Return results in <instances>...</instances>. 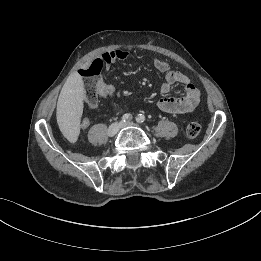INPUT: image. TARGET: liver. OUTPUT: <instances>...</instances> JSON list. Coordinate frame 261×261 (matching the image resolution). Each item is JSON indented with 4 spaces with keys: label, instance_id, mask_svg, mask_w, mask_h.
Returning a JSON list of instances; mask_svg holds the SVG:
<instances>
[{
    "label": "liver",
    "instance_id": "6515ba94",
    "mask_svg": "<svg viewBox=\"0 0 261 261\" xmlns=\"http://www.w3.org/2000/svg\"><path fill=\"white\" fill-rule=\"evenodd\" d=\"M84 83L74 72L67 78L57 102V122L61 130L77 132L83 111Z\"/></svg>",
    "mask_w": 261,
    "mask_h": 261
}]
</instances>
